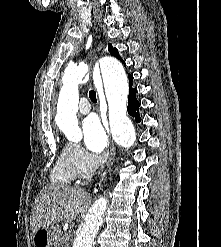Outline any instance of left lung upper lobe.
Returning a JSON list of instances; mask_svg holds the SVG:
<instances>
[{"label": "left lung upper lobe", "mask_w": 221, "mask_h": 247, "mask_svg": "<svg viewBox=\"0 0 221 247\" xmlns=\"http://www.w3.org/2000/svg\"><path fill=\"white\" fill-rule=\"evenodd\" d=\"M108 50H109V52H110L111 55H114L115 57L119 58L123 62V60L119 56V53H118L117 49L116 48H113V46L111 44L108 45Z\"/></svg>", "instance_id": "1"}]
</instances>
